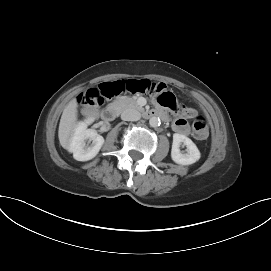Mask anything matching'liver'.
Segmentation results:
<instances>
[{
	"mask_svg": "<svg viewBox=\"0 0 271 271\" xmlns=\"http://www.w3.org/2000/svg\"><path fill=\"white\" fill-rule=\"evenodd\" d=\"M76 123H77V100L73 99L68 103V105L64 109L59 124L58 137L60 144L64 149H69L70 147L73 131L77 125Z\"/></svg>",
	"mask_w": 271,
	"mask_h": 271,
	"instance_id": "obj_1",
	"label": "liver"
}]
</instances>
